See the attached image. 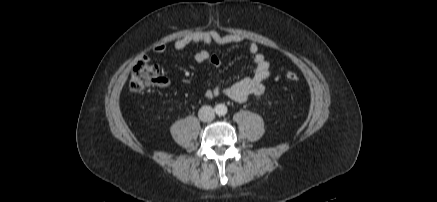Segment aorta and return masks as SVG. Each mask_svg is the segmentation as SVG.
Here are the masks:
<instances>
[{"mask_svg": "<svg viewBox=\"0 0 437 202\" xmlns=\"http://www.w3.org/2000/svg\"><path fill=\"white\" fill-rule=\"evenodd\" d=\"M215 110L218 115H225L227 113V107L224 104L217 105Z\"/></svg>", "mask_w": 437, "mask_h": 202, "instance_id": "obj_1", "label": "aorta"}]
</instances>
